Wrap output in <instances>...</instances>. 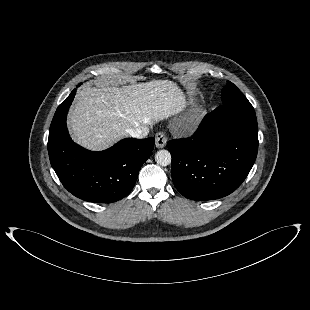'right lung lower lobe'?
<instances>
[{
  "label": "right lung lower lobe",
  "mask_w": 310,
  "mask_h": 310,
  "mask_svg": "<svg viewBox=\"0 0 310 310\" xmlns=\"http://www.w3.org/2000/svg\"><path fill=\"white\" fill-rule=\"evenodd\" d=\"M75 93L76 89L59 105L51 123V165L74 196L96 203L118 201L132 190L141 166L152 153L154 138H126L102 152L84 149L72 141L66 126Z\"/></svg>",
  "instance_id": "98d812e1"
}]
</instances>
